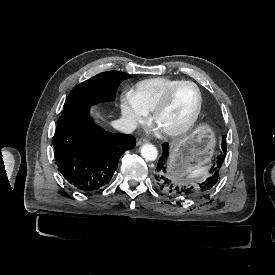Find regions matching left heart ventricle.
<instances>
[{
  "instance_id": "obj_1",
  "label": "left heart ventricle",
  "mask_w": 275,
  "mask_h": 275,
  "mask_svg": "<svg viewBox=\"0 0 275 275\" xmlns=\"http://www.w3.org/2000/svg\"><path fill=\"white\" fill-rule=\"evenodd\" d=\"M197 101V91L193 85L182 84L178 86L168 107L156 120L157 129L163 132L181 127L193 114Z\"/></svg>"
}]
</instances>
